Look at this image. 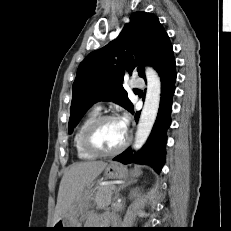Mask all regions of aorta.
I'll return each mask as SVG.
<instances>
[{"label":"aorta","mask_w":231,"mask_h":231,"mask_svg":"<svg viewBox=\"0 0 231 231\" xmlns=\"http://www.w3.org/2000/svg\"><path fill=\"white\" fill-rule=\"evenodd\" d=\"M147 90L144 106L140 115L135 142L133 148L139 150L145 144L155 123L161 95V81L157 72L151 68H145Z\"/></svg>","instance_id":"1"}]
</instances>
